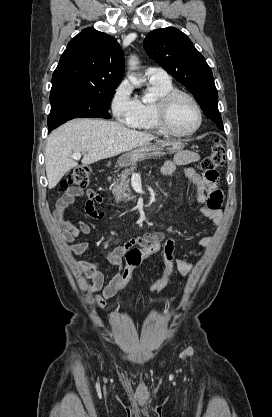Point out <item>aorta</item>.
<instances>
[{"label": "aorta", "mask_w": 272, "mask_h": 417, "mask_svg": "<svg viewBox=\"0 0 272 417\" xmlns=\"http://www.w3.org/2000/svg\"><path fill=\"white\" fill-rule=\"evenodd\" d=\"M137 65H138L137 58L136 57H131L130 60H129V69L134 70V69H136ZM128 78L133 85H135V86H140L141 85V83L136 79L135 76L130 75V76H128Z\"/></svg>", "instance_id": "obj_1"}]
</instances>
